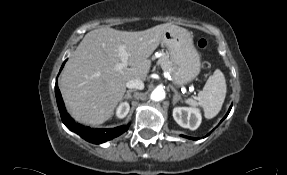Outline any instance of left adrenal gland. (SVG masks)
<instances>
[{
    "instance_id": "1",
    "label": "left adrenal gland",
    "mask_w": 287,
    "mask_h": 175,
    "mask_svg": "<svg viewBox=\"0 0 287 175\" xmlns=\"http://www.w3.org/2000/svg\"><path fill=\"white\" fill-rule=\"evenodd\" d=\"M172 91L174 92V96H173V105L176 104L177 101H179L181 99V96L180 94L177 92V90L173 87V86H170Z\"/></svg>"
}]
</instances>
